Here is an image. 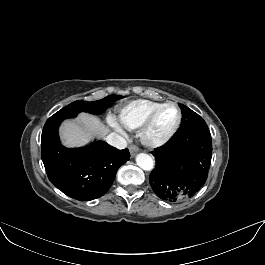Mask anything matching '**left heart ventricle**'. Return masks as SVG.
I'll use <instances>...</instances> for the list:
<instances>
[{"mask_svg": "<svg viewBox=\"0 0 265 265\" xmlns=\"http://www.w3.org/2000/svg\"><path fill=\"white\" fill-rule=\"evenodd\" d=\"M177 119V111L172 106L163 107L156 115L149 136L153 139L163 136L174 125Z\"/></svg>", "mask_w": 265, "mask_h": 265, "instance_id": "obj_1", "label": "left heart ventricle"}]
</instances>
